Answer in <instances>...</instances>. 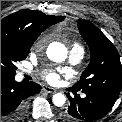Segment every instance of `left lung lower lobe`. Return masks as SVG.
<instances>
[{
    "mask_svg": "<svg viewBox=\"0 0 122 122\" xmlns=\"http://www.w3.org/2000/svg\"><path fill=\"white\" fill-rule=\"evenodd\" d=\"M85 94V98H72L67 94L70 105L62 112V118L66 122H93L98 120L111 110L117 99L112 95L95 91L85 92Z\"/></svg>",
    "mask_w": 122,
    "mask_h": 122,
    "instance_id": "left-lung-lower-lobe-1",
    "label": "left lung lower lobe"
}]
</instances>
